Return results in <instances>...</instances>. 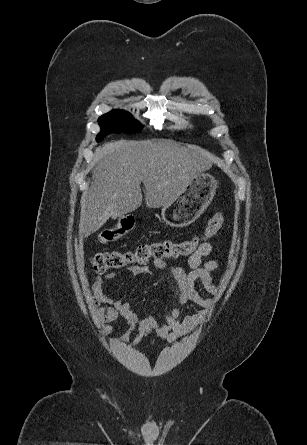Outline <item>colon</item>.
I'll use <instances>...</instances> for the list:
<instances>
[{
    "label": "colon",
    "instance_id": "5ec220e1",
    "mask_svg": "<svg viewBox=\"0 0 307 445\" xmlns=\"http://www.w3.org/2000/svg\"><path fill=\"white\" fill-rule=\"evenodd\" d=\"M224 214L218 212L211 216L206 223L203 232L196 237L183 241L162 240L153 243H143L134 249L126 251L98 252L91 257V265L97 273L107 270H119L129 266L145 265L150 260L178 258L194 254L201 242L212 238L223 226ZM135 220L127 215L118 223L109 228L102 229L98 234V240L102 244H109L119 240L123 235L133 230Z\"/></svg>",
    "mask_w": 307,
    "mask_h": 445
}]
</instances>
